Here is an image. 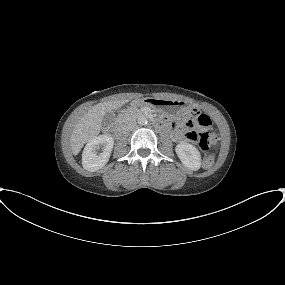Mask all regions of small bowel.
<instances>
[{
	"instance_id": "c3829d8e",
	"label": "small bowel",
	"mask_w": 285,
	"mask_h": 285,
	"mask_svg": "<svg viewBox=\"0 0 285 285\" xmlns=\"http://www.w3.org/2000/svg\"><path fill=\"white\" fill-rule=\"evenodd\" d=\"M173 137L176 141H182L184 139V133L180 128H176L173 132Z\"/></svg>"
}]
</instances>
